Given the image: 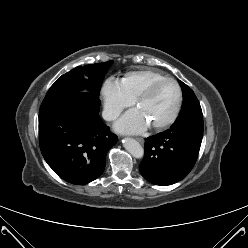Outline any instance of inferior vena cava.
Segmentation results:
<instances>
[{"instance_id": "602c4592", "label": "inferior vena cava", "mask_w": 248, "mask_h": 248, "mask_svg": "<svg viewBox=\"0 0 248 248\" xmlns=\"http://www.w3.org/2000/svg\"><path fill=\"white\" fill-rule=\"evenodd\" d=\"M120 115V111L112 108H105L102 112V117L106 121L115 120Z\"/></svg>"}]
</instances>
